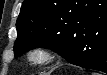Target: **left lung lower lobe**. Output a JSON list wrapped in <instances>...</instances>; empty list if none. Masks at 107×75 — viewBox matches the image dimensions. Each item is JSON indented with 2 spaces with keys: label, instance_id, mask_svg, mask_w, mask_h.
Instances as JSON below:
<instances>
[{
  "label": "left lung lower lobe",
  "instance_id": "left-lung-lower-lobe-1",
  "mask_svg": "<svg viewBox=\"0 0 107 75\" xmlns=\"http://www.w3.org/2000/svg\"><path fill=\"white\" fill-rule=\"evenodd\" d=\"M99 4L79 25L78 49L62 54L69 63L107 73V0H90Z\"/></svg>",
  "mask_w": 107,
  "mask_h": 75
}]
</instances>
